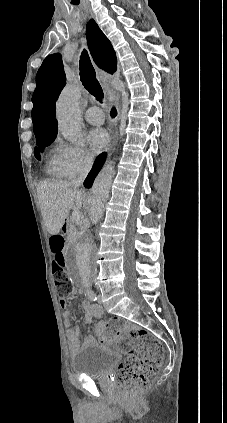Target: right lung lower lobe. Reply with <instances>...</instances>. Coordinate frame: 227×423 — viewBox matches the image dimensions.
Wrapping results in <instances>:
<instances>
[{
    "label": "right lung lower lobe",
    "instance_id": "98d812e1",
    "mask_svg": "<svg viewBox=\"0 0 227 423\" xmlns=\"http://www.w3.org/2000/svg\"><path fill=\"white\" fill-rule=\"evenodd\" d=\"M105 158H106V153H102L96 158L92 170L88 174L87 179L84 181L85 187L90 188L92 186L94 178L96 177V175L100 171V169H101V167H102V165L105 161Z\"/></svg>",
    "mask_w": 227,
    "mask_h": 423
}]
</instances>
